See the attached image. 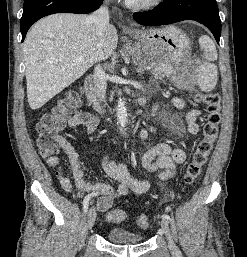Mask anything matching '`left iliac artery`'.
<instances>
[{
    "instance_id": "obj_1",
    "label": "left iliac artery",
    "mask_w": 247,
    "mask_h": 257,
    "mask_svg": "<svg viewBox=\"0 0 247 257\" xmlns=\"http://www.w3.org/2000/svg\"><path fill=\"white\" fill-rule=\"evenodd\" d=\"M162 217H163L164 219H166V220H169V221L171 220V219H170V216H169L168 214H163Z\"/></svg>"
}]
</instances>
